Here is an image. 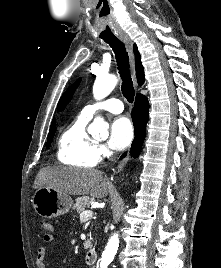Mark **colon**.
<instances>
[{
  "label": "colon",
  "mask_w": 221,
  "mask_h": 268,
  "mask_svg": "<svg viewBox=\"0 0 221 268\" xmlns=\"http://www.w3.org/2000/svg\"><path fill=\"white\" fill-rule=\"evenodd\" d=\"M40 225H41L42 229H43L45 232H49V231H51L52 228H53V225H52L50 222L46 221V220H42V221L40 222Z\"/></svg>",
  "instance_id": "1"
}]
</instances>
